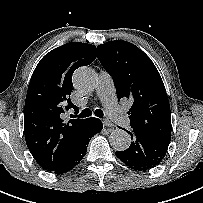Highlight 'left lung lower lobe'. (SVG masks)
<instances>
[{"label": "left lung lower lobe", "instance_id": "obj_1", "mask_svg": "<svg viewBox=\"0 0 203 203\" xmlns=\"http://www.w3.org/2000/svg\"><path fill=\"white\" fill-rule=\"evenodd\" d=\"M131 135L130 147L116 151V156L136 171H146L158 165L164 158L170 141L158 139L140 130L127 131Z\"/></svg>", "mask_w": 203, "mask_h": 203}]
</instances>
